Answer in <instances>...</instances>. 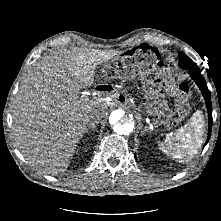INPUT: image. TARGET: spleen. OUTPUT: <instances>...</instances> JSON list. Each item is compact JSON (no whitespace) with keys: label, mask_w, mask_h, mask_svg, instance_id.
Here are the masks:
<instances>
[{"label":"spleen","mask_w":221,"mask_h":221,"mask_svg":"<svg viewBox=\"0 0 221 221\" xmlns=\"http://www.w3.org/2000/svg\"><path fill=\"white\" fill-rule=\"evenodd\" d=\"M205 123L201 111H196L189 122L175 135L159 142V149L179 162H188L203 144Z\"/></svg>","instance_id":"spleen-1"}]
</instances>
